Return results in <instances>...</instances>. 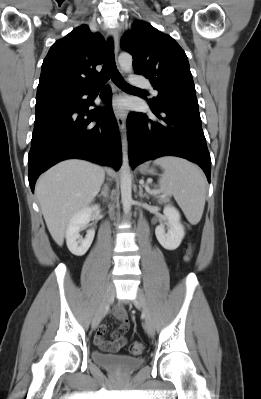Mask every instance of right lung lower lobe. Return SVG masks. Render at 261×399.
Wrapping results in <instances>:
<instances>
[{"label": "right lung lower lobe", "mask_w": 261, "mask_h": 399, "mask_svg": "<svg viewBox=\"0 0 261 399\" xmlns=\"http://www.w3.org/2000/svg\"><path fill=\"white\" fill-rule=\"evenodd\" d=\"M109 90L105 87L101 95L106 103L110 102ZM86 94L88 91L78 92L36 106L28 156L32 192L39 175L65 159L80 158L120 168V135L114 113L110 106L83 111L82 96Z\"/></svg>", "instance_id": "right-lung-lower-lobe-1"}]
</instances>
